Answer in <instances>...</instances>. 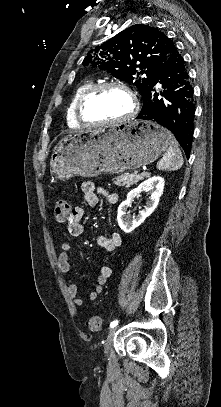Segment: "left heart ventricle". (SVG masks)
I'll return each instance as SVG.
<instances>
[{
    "instance_id": "left-heart-ventricle-1",
    "label": "left heart ventricle",
    "mask_w": 221,
    "mask_h": 407,
    "mask_svg": "<svg viewBox=\"0 0 221 407\" xmlns=\"http://www.w3.org/2000/svg\"><path fill=\"white\" fill-rule=\"evenodd\" d=\"M132 107L130 96L121 89H106L87 105L86 113L93 120H114L128 114Z\"/></svg>"
}]
</instances>
